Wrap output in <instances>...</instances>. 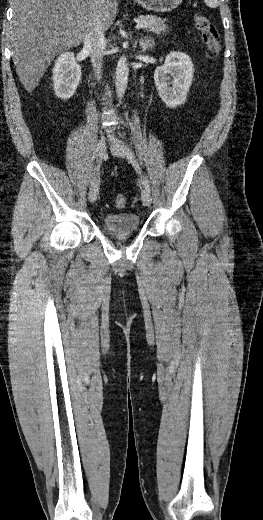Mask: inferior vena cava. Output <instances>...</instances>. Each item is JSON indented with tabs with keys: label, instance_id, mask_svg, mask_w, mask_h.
Here are the masks:
<instances>
[{
	"label": "inferior vena cava",
	"instance_id": "1",
	"mask_svg": "<svg viewBox=\"0 0 263 520\" xmlns=\"http://www.w3.org/2000/svg\"><path fill=\"white\" fill-rule=\"evenodd\" d=\"M106 39L100 15L93 12L84 38V48L90 53V59L95 76L101 77L102 59L105 51Z\"/></svg>",
	"mask_w": 263,
	"mask_h": 520
}]
</instances>
